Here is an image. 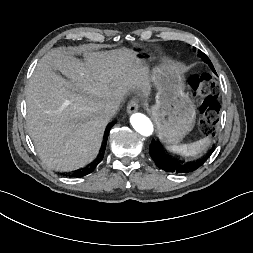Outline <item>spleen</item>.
Instances as JSON below:
<instances>
[{"instance_id": "obj_1", "label": "spleen", "mask_w": 253, "mask_h": 253, "mask_svg": "<svg viewBox=\"0 0 253 253\" xmlns=\"http://www.w3.org/2000/svg\"><path fill=\"white\" fill-rule=\"evenodd\" d=\"M209 144V137H205L191 144L169 145L167 146V149L173 153H177L185 157H193L206 150Z\"/></svg>"}]
</instances>
